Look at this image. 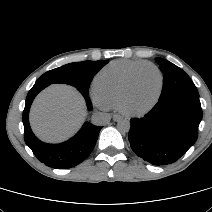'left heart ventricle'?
<instances>
[{"label": "left heart ventricle", "instance_id": "obj_1", "mask_svg": "<svg viewBox=\"0 0 212 212\" xmlns=\"http://www.w3.org/2000/svg\"><path fill=\"white\" fill-rule=\"evenodd\" d=\"M159 88V76L151 68L141 70L132 85L126 98L125 107L129 110L138 111L149 106Z\"/></svg>", "mask_w": 212, "mask_h": 212}]
</instances>
